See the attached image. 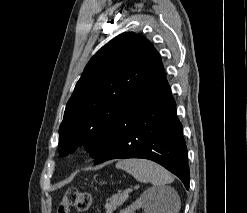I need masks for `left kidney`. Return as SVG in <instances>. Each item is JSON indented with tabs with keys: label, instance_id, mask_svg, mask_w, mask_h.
I'll return each instance as SVG.
<instances>
[{
	"label": "left kidney",
	"instance_id": "5707ae66",
	"mask_svg": "<svg viewBox=\"0 0 247 213\" xmlns=\"http://www.w3.org/2000/svg\"><path fill=\"white\" fill-rule=\"evenodd\" d=\"M158 206V194L154 190H146L131 206L120 213H135L141 208L145 213H160Z\"/></svg>",
	"mask_w": 247,
	"mask_h": 213
}]
</instances>
